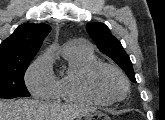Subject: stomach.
I'll list each match as a JSON object with an SVG mask.
<instances>
[{
    "label": "stomach",
    "instance_id": "0dacf381",
    "mask_svg": "<svg viewBox=\"0 0 165 120\" xmlns=\"http://www.w3.org/2000/svg\"><path fill=\"white\" fill-rule=\"evenodd\" d=\"M83 117L85 120H93L94 117H97V118H102L103 117V120H111L110 117L107 115V114H104L100 111H89L85 114H83ZM81 118H79L80 120Z\"/></svg>",
    "mask_w": 165,
    "mask_h": 120
}]
</instances>
